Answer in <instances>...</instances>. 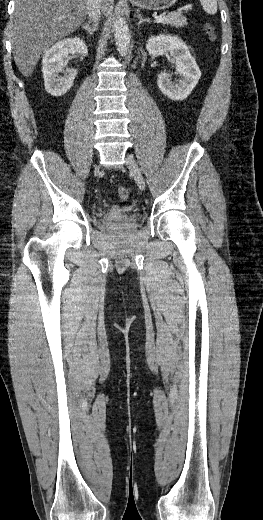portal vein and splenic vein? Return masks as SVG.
<instances>
[{"label":"portal vein and splenic vein","instance_id":"18ae733b","mask_svg":"<svg viewBox=\"0 0 263 520\" xmlns=\"http://www.w3.org/2000/svg\"><path fill=\"white\" fill-rule=\"evenodd\" d=\"M165 17H166L165 14H161L158 17H156L155 22L160 23L165 19Z\"/></svg>","mask_w":263,"mask_h":520}]
</instances>
